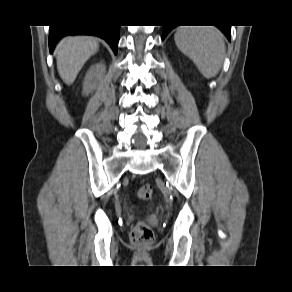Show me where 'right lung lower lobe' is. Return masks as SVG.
I'll return each instance as SVG.
<instances>
[{"instance_id":"obj_1","label":"right lung lower lobe","mask_w":292,"mask_h":292,"mask_svg":"<svg viewBox=\"0 0 292 292\" xmlns=\"http://www.w3.org/2000/svg\"><path fill=\"white\" fill-rule=\"evenodd\" d=\"M120 26L102 25H76V26H50L49 47L50 52L56 43L66 35H95L103 38L111 46L114 53H117Z\"/></svg>"}]
</instances>
